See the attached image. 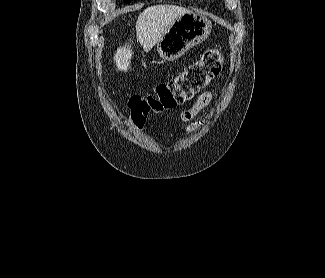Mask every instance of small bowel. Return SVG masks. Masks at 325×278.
Returning <instances> with one entry per match:
<instances>
[{
    "instance_id": "obj_1",
    "label": "small bowel",
    "mask_w": 325,
    "mask_h": 278,
    "mask_svg": "<svg viewBox=\"0 0 325 278\" xmlns=\"http://www.w3.org/2000/svg\"><path fill=\"white\" fill-rule=\"evenodd\" d=\"M211 100L212 93L210 91H205L198 97L190 109L182 113L181 119L188 124L187 130L191 131L199 126V121L196 120V116L210 104Z\"/></svg>"
}]
</instances>
